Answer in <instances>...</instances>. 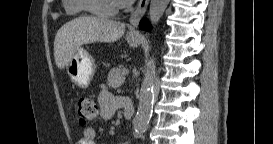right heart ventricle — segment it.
<instances>
[{"label": "right heart ventricle", "instance_id": "e07e8e85", "mask_svg": "<svg viewBox=\"0 0 273 144\" xmlns=\"http://www.w3.org/2000/svg\"><path fill=\"white\" fill-rule=\"evenodd\" d=\"M62 2L64 11L71 16L80 15L84 11L81 0H63Z\"/></svg>", "mask_w": 273, "mask_h": 144}]
</instances>
